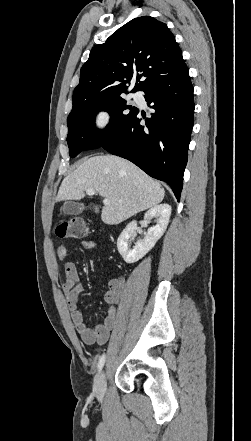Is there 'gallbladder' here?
Segmentation results:
<instances>
[{
	"instance_id": "gallbladder-1",
	"label": "gallbladder",
	"mask_w": 251,
	"mask_h": 441,
	"mask_svg": "<svg viewBox=\"0 0 251 441\" xmlns=\"http://www.w3.org/2000/svg\"><path fill=\"white\" fill-rule=\"evenodd\" d=\"M62 210H63L64 214H67V215H78L82 212L83 206L79 203L69 201L63 205Z\"/></svg>"
}]
</instances>
